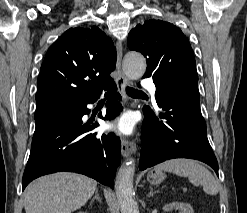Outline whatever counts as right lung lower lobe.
Here are the masks:
<instances>
[{"mask_svg":"<svg viewBox=\"0 0 247 213\" xmlns=\"http://www.w3.org/2000/svg\"><path fill=\"white\" fill-rule=\"evenodd\" d=\"M105 90L109 91L105 119H111L122 110L117 100L120 96L114 82ZM100 94L62 96L37 108L31 152L23 174V190L33 179L59 171L81 173L113 188L121 160L120 139L113 133L102 136L90 133L98 124L82 122L83 115L90 112L86 105L94 103Z\"/></svg>","mask_w":247,"mask_h":213,"instance_id":"1","label":"right lung lower lobe"}]
</instances>
